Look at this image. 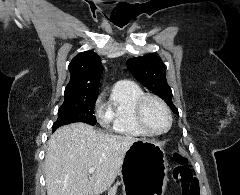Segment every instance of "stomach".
<instances>
[{
    "label": "stomach",
    "instance_id": "0dacf381",
    "mask_svg": "<svg viewBox=\"0 0 240 195\" xmlns=\"http://www.w3.org/2000/svg\"><path fill=\"white\" fill-rule=\"evenodd\" d=\"M167 171L165 151L159 141H134L120 167L122 195H164Z\"/></svg>",
    "mask_w": 240,
    "mask_h": 195
}]
</instances>
